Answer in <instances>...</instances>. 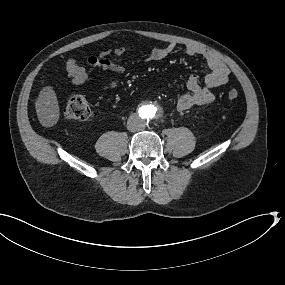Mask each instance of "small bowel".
<instances>
[{"label":"small bowel","instance_id":"c3829d8e","mask_svg":"<svg viewBox=\"0 0 285 285\" xmlns=\"http://www.w3.org/2000/svg\"><path fill=\"white\" fill-rule=\"evenodd\" d=\"M175 50L176 45L174 43H169L164 47H154L146 53L145 59L147 61L162 60ZM183 51L189 56H197L205 60L209 71L204 77L203 83L200 82L196 75L192 74L188 76V91L177 99V109L179 111L212 103L215 99L213 90L226 84L230 73L228 67L216 55L205 48L189 44L184 46ZM127 52L128 47L121 45L116 47L112 52L103 51L98 56L90 57L88 64L109 74L120 76L125 72V68L120 64L110 61L109 57L112 53L116 56H122ZM118 82L117 77H111L107 80L103 88L114 89L117 87Z\"/></svg>","mask_w":285,"mask_h":285}]
</instances>
